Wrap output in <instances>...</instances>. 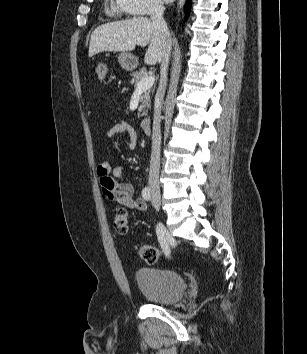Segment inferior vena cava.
I'll list each match as a JSON object with an SVG mask.
<instances>
[{"label":"inferior vena cava","instance_id":"inferior-vena-cava-1","mask_svg":"<svg viewBox=\"0 0 307 354\" xmlns=\"http://www.w3.org/2000/svg\"><path fill=\"white\" fill-rule=\"evenodd\" d=\"M164 7L161 4L153 5L151 9V20L153 25L159 30L165 46V53L161 62V79L159 88L156 93V104L153 119V134H152V153L149 171V189L151 193H160L159 186V169H160V145H161V108L162 100L167 84V69L169 65L170 51L172 38L168 31L165 20L163 19Z\"/></svg>","mask_w":307,"mask_h":354}]
</instances>
